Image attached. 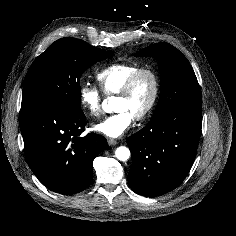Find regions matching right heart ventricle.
Instances as JSON below:
<instances>
[{
  "instance_id": "obj_1",
  "label": "right heart ventricle",
  "mask_w": 236,
  "mask_h": 236,
  "mask_svg": "<svg viewBox=\"0 0 236 236\" xmlns=\"http://www.w3.org/2000/svg\"><path fill=\"white\" fill-rule=\"evenodd\" d=\"M140 67L133 62H119L101 69L96 74V79L102 93L106 96L116 95L127 79Z\"/></svg>"
}]
</instances>
